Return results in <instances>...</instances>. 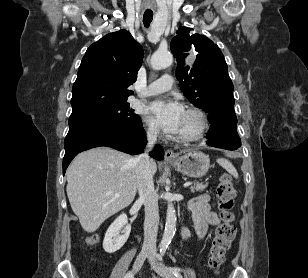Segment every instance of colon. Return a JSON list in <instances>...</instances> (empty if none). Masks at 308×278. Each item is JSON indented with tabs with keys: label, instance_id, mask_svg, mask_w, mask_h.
Segmentation results:
<instances>
[{
	"label": "colon",
	"instance_id": "5ec220e1",
	"mask_svg": "<svg viewBox=\"0 0 308 278\" xmlns=\"http://www.w3.org/2000/svg\"><path fill=\"white\" fill-rule=\"evenodd\" d=\"M216 196L218 199L221 223L215 229L209 251V266L215 271L224 263L226 252L236 234V227L233 224L234 215L232 212L235 190L230 175L223 174L220 177L216 189ZM104 234L106 235L107 233L105 232ZM96 240L97 237H91L89 238V243L92 244Z\"/></svg>",
	"mask_w": 308,
	"mask_h": 278
}]
</instances>
